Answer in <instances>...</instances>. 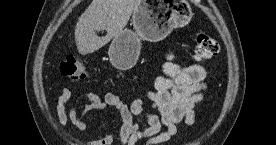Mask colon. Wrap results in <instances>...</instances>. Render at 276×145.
Wrapping results in <instances>:
<instances>
[{
	"mask_svg": "<svg viewBox=\"0 0 276 145\" xmlns=\"http://www.w3.org/2000/svg\"><path fill=\"white\" fill-rule=\"evenodd\" d=\"M219 52L218 42L205 33H198L195 37L194 57L197 61H205ZM60 73L73 80H81L88 77V74L75 56H68L59 65Z\"/></svg>",
	"mask_w": 276,
	"mask_h": 145,
	"instance_id": "obj_1",
	"label": "colon"
}]
</instances>
